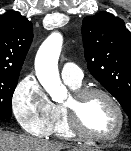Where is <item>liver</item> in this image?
I'll return each instance as SVG.
<instances>
[{"label":"liver","instance_id":"liver-1","mask_svg":"<svg viewBox=\"0 0 131 151\" xmlns=\"http://www.w3.org/2000/svg\"><path fill=\"white\" fill-rule=\"evenodd\" d=\"M69 145L36 139L30 136L16 135L0 129V151H61ZM74 148L73 151H85Z\"/></svg>","mask_w":131,"mask_h":151}]
</instances>
